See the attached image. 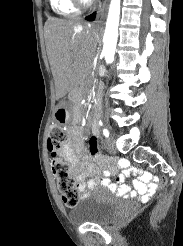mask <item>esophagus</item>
I'll return each instance as SVG.
<instances>
[{
	"label": "esophagus",
	"instance_id": "1",
	"mask_svg": "<svg viewBox=\"0 0 183 246\" xmlns=\"http://www.w3.org/2000/svg\"><path fill=\"white\" fill-rule=\"evenodd\" d=\"M109 0H104L99 7V11H98V15L96 17L95 20V24L96 25H100L103 23L105 15H106V9H107V5H108Z\"/></svg>",
	"mask_w": 183,
	"mask_h": 246
}]
</instances>
